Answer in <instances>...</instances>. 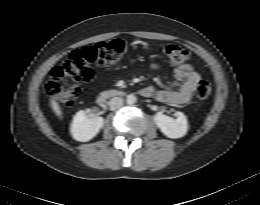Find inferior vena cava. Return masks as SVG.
Instances as JSON below:
<instances>
[{"mask_svg": "<svg viewBox=\"0 0 260 205\" xmlns=\"http://www.w3.org/2000/svg\"><path fill=\"white\" fill-rule=\"evenodd\" d=\"M109 105L111 110H117L122 107L123 99L120 97H114L110 100Z\"/></svg>", "mask_w": 260, "mask_h": 205, "instance_id": "obj_1", "label": "inferior vena cava"}]
</instances>
